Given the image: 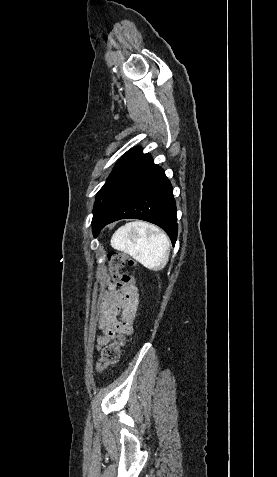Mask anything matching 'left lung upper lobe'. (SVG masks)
<instances>
[{
  "label": "left lung upper lobe",
  "instance_id": "obj_1",
  "mask_svg": "<svg viewBox=\"0 0 277 477\" xmlns=\"http://www.w3.org/2000/svg\"><path fill=\"white\" fill-rule=\"evenodd\" d=\"M137 150H139V147H135V148L131 149L130 151H128L126 154H124L123 157L119 160V162H118L117 165L115 166V168L113 169V172H114L125 160H127L132 154H134ZM113 172H112V173H113ZM112 173H111V174H112ZM102 188H103V187H102ZM102 188H101V189H102ZM101 189H100V191H101ZM100 191L97 193L96 200H97V197H98ZM95 204H96V201H95ZM94 207H95V205H94Z\"/></svg>",
  "mask_w": 277,
  "mask_h": 477
}]
</instances>
